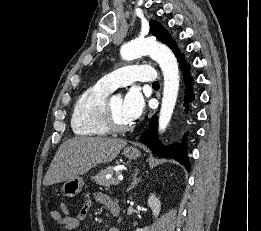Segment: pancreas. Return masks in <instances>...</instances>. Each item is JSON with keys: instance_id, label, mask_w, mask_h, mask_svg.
<instances>
[{"instance_id": "pancreas-1", "label": "pancreas", "mask_w": 261, "mask_h": 231, "mask_svg": "<svg viewBox=\"0 0 261 231\" xmlns=\"http://www.w3.org/2000/svg\"><path fill=\"white\" fill-rule=\"evenodd\" d=\"M113 173H114V168L112 166H109V167L99 171L98 174H96L93 179L96 182V184L109 188L110 185H112V179H107L106 176L108 174H113ZM115 173H116V175L120 174L119 171H117Z\"/></svg>"}]
</instances>
